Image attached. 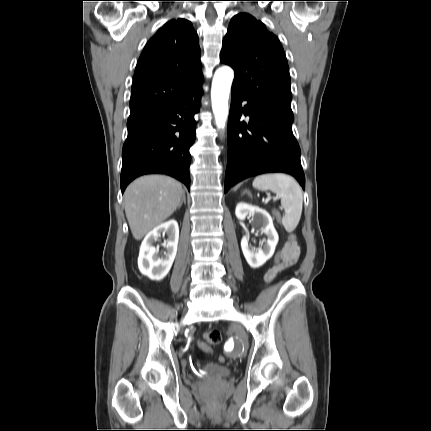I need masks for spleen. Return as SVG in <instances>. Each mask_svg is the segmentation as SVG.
<instances>
[{
  "label": "spleen",
  "instance_id": "3e777b00",
  "mask_svg": "<svg viewBox=\"0 0 431 431\" xmlns=\"http://www.w3.org/2000/svg\"><path fill=\"white\" fill-rule=\"evenodd\" d=\"M253 187L261 190H270L281 199V206L285 210L282 224L289 233L297 227L302 213L303 193L296 180L286 174H263L253 181Z\"/></svg>",
  "mask_w": 431,
  "mask_h": 431
}]
</instances>
